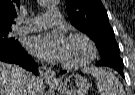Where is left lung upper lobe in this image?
Segmentation results:
<instances>
[{"label":"left lung upper lobe","instance_id":"1","mask_svg":"<svg viewBox=\"0 0 135 95\" xmlns=\"http://www.w3.org/2000/svg\"><path fill=\"white\" fill-rule=\"evenodd\" d=\"M67 14L77 29L87 34L99 49L101 59H121L114 31L101 0H65Z\"/></svg>","mask_w":135,"mask_h":95}]
</instances>
